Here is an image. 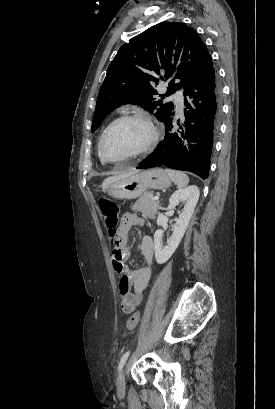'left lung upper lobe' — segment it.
<instances>
[{"mask_svg": "<svg viewBox=\"0 0 275 409\" xmlns=\"http://www.w3.org/2000/svg\"><path fill=\"white\" fill-rule=\"evenodd\" d=\"M213 65L199 35L180 22H161L121 46L108 67L98 94L91 131L119 106L137 104L164 122L174 109L163 103L180 88L198 78ZM170 79L167 92L159 95L153 85ZM175 80L180 82L175 83Z\"/></svg>", "mask_w": 275, "mask_h": 409, "instance_id": "1", "label": "left lung upper lobe"}]
</instances>
